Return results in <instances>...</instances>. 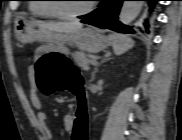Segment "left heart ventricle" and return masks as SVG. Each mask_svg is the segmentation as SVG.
Here are the masks:
<instances>
[{
	"label": "left heart ventricle",
	"instance_id": "b2bd125f",
	"mask_svg": "<svg viewBox=\"0 0 182 140\" xmlns=\"http://www.w3.org/2000/svg\"><path fill=\"white\" fill-rule=\"evenodd\" d=\"M85 2L84 0H66L61 4V7L66 12H77L87 5Z\"/></svg>",
	"mask_w": 182,
	"mask_h": 140
}]
</instances>
